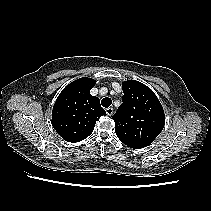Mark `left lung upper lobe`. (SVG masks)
Segmentation results:
<instances>
[{"label": "left lung upper lobe", "mask_w": 211, "mask_h": 211, "mask_svg": "<svg viewBox=\"0 0 211 211\" xmlns=\"http://www.w3.org/2000/svg\"><path fill=\"white\" fill-rule=\"evenodd\" d=\"M122 104L112 117L115 132L127 146L141 149L153 142L165 124L161 103L153 91L136 80L122 83Z\"/></svg>", "instance_id": "1"}]
</instances>
